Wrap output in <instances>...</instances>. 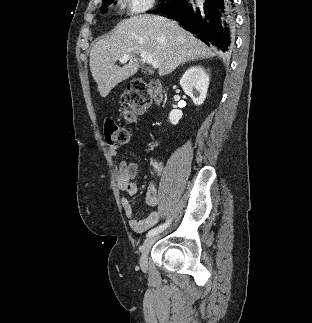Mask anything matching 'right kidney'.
Listing matches in <instances>:
<instances>
[{"label": "right kidney", "instance_id": "right-kidney-1", "mask_svg": "<svg viewBox=\"0 0 312 323\" xmlns=\"http://www.w3.org/2000/svg\"><path fill=\"white\" fill-rule=\"evenodd\" d=\"M180 86L185 94L190 96L196 106H201L205 102L209 86V76L202 66H191L186 70L180 80ZM183 114L181 110H171L169 120L171 124H178Z\"/></svg>", "mask_w": 312, "mask_h": 323}]
</instances>
